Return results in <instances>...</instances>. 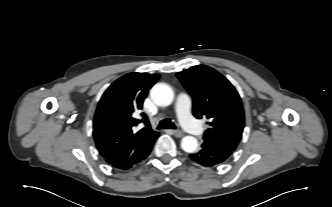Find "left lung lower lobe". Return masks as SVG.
<instances>
[{"label": "left lung lower lobe", "instance_id": "left-lung-lower-lobe-1", "mask_svg": "<svg viewBox=\"0 0 332 207\" xmlns=\"http://www.w3.org/2000/svg\"><path fill=\"white\" fill-rule=\"evenodd\" d=\"M233 151L223 148L215 143L203 141L201 150L190 154L189 157L194 162L204 167H214L229 158Z\"/></svg>", "mask_w": 332, "mask_h": 207}]
</instances>
